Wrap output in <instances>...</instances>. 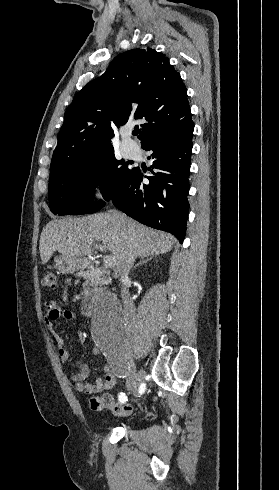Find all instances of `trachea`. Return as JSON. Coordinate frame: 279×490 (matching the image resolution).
<instances>
[{
	"label": "trachea",
	"mask_w": 279,
	"mask_h": 490,
	"mask_svg": "<svg viewBox=\"0 0 279 490\" xmlns=\"http://www.w3.org/2000/svg\"><path fill=\"white\" fill-rule=\"evenodd\" d=\"M139 131H140V130H133V132H132V133H133V135H138Z\"/></svg>",
	"instance_id": "trachea-1"
}]
</instances>
